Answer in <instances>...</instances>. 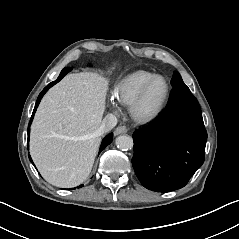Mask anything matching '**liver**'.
<instances>
[{"mask_svg": "<svg viewBox=\"0 0 239 239\" xmlns=\"http://www.w3.org/2000/svg\"><path fill=\"white\" fill-rule=\"evenodd\" d=\"M108 81L97 73L66 75L43 97L30 134V154L42 177L60 188L89 176L101 142Z\"/></svg>", "mask_w": 239, "mask_h": 239, "instance_id": "obj_1", "label": "liver"}]
</instances>
